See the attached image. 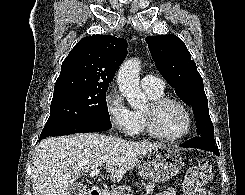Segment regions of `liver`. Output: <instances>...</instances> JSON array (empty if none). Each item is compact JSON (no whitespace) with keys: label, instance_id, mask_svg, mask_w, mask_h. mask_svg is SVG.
I'll return each instance as SVG.
<instances>
[{"label":"liver","instance_id":"liver-1","mask_svg":"<svg viewBox=\"0 0 245 195\" xmlns=\"http://www.w3.org/2000/svg\"><path fill=\"white\" fill-rule=\"evenodd\" d=\"M160 146L97 133L44 139L35 148L33 195H69V186L102 165L112 181H120L142 155Z\"/></svg>","mask_w":245,"mask_h":195}]
</instances>
